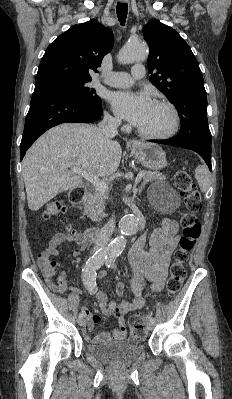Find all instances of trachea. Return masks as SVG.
I'll return each mask as SVG.
<instances>
[{
  "mask_svg": "<svg viewBox=\"0 0 232 399\" xmlns=\"http://www.w3.org/2000/svg\"><path fill=\"white\" fill-rule=\"evenodd\" d=\"M116 10H117V16L119 18V21H120L121 25H124L125 21H126V16H127V13H128V5H127V3L118 2Z\"/></svg>",
  "mask_w": 232,
  "mask_h": 399,
  "instance_id": "obj_1",
  "label": "trachea"
}]
</instances>
